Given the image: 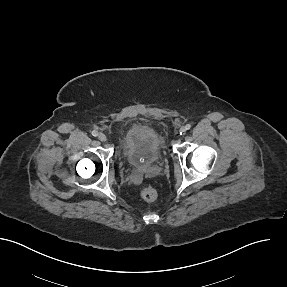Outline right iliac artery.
I'll list each match as a JSON object with an SVG mask.
<instances>
[{"mask_svg": "<svg viewBox=\"0 0 287 287\" xmlns=\"http://www.w3.org/2000/svg\"><path fill=\"white\" fill-rule=\"evenodd\" d=\"M92 135L96 137V136H98V132L96 130H93Z\"/></svg>", "mask_w": 287, "mask_h": 287, "instance_id": "1", "label": "right iliac artery"}]
</instances>
